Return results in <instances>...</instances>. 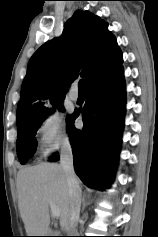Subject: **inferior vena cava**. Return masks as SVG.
<instances>
[{
  "label": "inferior vena cava",
  "mask_w": 158,
  "mask_h": 237,
  "mask_svg": "<svg viewBox=\"0 0 158 237\" xmlns=\"http://www.w3.org/2000/svg\"><path fill=\"white\" fill-rule=\"evenodd\" d=\"M60 166L64 170L69 194V233L78 236L77 222L80 215L81 190L73 167V154L70 142L65 139L61 145Z\"/></svg>",
  "instance_id": "inferior-vena-cava-1"
}]
</instances>
